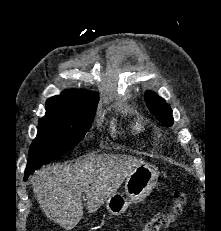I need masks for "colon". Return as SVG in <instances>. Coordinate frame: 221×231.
I'll list each match as a JSON object with an SVG mask.
<instances>
[{"label": "colon", "mask_w": 221, "mask_h": 231, "mask_svg": "<svg viewBox=\"0 0 221 231\" xmlns=\"http://www.w3.org/2000/svg\"><path fill=\"white\" fill-rule=\"evenodd\" d=\"M186 202V194L178 190L174 193L173 203L168 211L160 212L147 220L141 231H161L175 223Z\"/></svg>", "instance_id": "colon-1"}]
</instances>
